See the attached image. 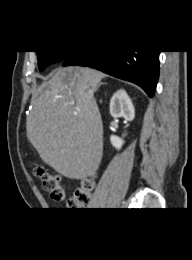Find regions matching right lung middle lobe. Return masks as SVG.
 <instances>
[{
    "label": "right lung middle lobe",
    "mask_w": 192,
    "mask_h": 260,
    "mask_svg": "<svg viewBox=\"0 0 192 260\" xmlns=\"http://www.w3.org/2000/svg\"><path fill=\"white\" fill-rule=\"evenodd\" d=\"M38 56L39 70H44L48 65L65 60L72 52L70 51H36Z\"/></svg>",
    "instance_id": "1"
}]
</instances>
